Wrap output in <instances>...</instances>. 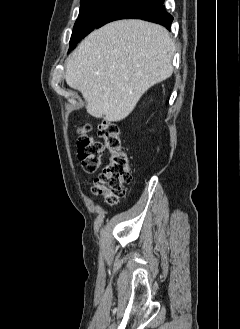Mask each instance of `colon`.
Masks as SVG:
<instances>
[{
	"mask_svg": "<svg viewBox=\"0 0 240 329\" xmlns=\"http://www.w3.org/2000/svg\"><path fill=\"white\" fill-rule=\"evenodd\" d=\"M88 132V126H83L79 130L78 158L84 172L93 174L101 165L103 150L109 152V162L96 178L92 191L95 195H102L107 204L114 205L125 195V185L132 178L130 156L122 142L120 130L116 123L106 121L101 125L100 134L103 143L94 141Z\"/></svg>",
	"mask_w": 240,
	"mask_h": 329,
	"instance_id": "obj_1",
	"label": "colon"
}]
</instances>
